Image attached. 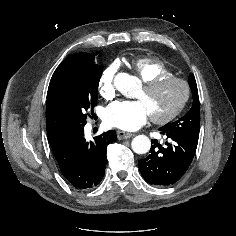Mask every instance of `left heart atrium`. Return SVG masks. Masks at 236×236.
Segmentation results:
<instances>
[{"mask_svg":"<svg viewBox=\"0 0 236 236\" xmlns=\"http://www.w3.org/2000/svg\"><path fill=\"white\" fill-rule=\"evenodd\" d=\"M150 114L141 100L120 101L108 107L105 121L109 126L134 131L146 124Z\"/></svg>","mask_w":236,"mask_h":236,"instance_id":"obj_1","label":"left heart atrium"}]
</instances>
